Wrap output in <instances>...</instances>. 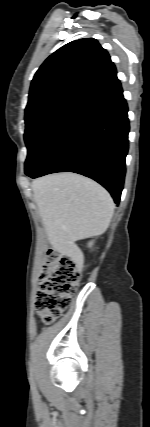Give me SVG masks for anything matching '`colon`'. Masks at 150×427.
Segmentation results:
<instances>
[{
    "label": "colon",
    "mask_w": 150,
    "mask_h": 427,
    "mask_svg": "<svg viewBox=\"0 0 150 427\" xmlns=\"http://www.w3.org/2000/svg\"><path fill=\"white\" fill-rule=\"evenodd\" d=\"M81 279V269L69 255L50 252L36 299V311L52 324L69 306Z\"/></svg>",
    "instance_id": "obj_1"
}]
</instances>
